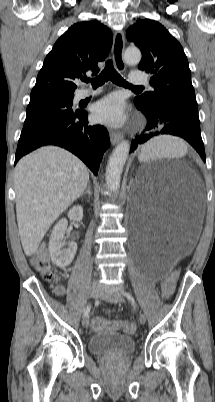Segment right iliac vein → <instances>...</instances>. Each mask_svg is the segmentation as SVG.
I'll return each instance as SVG.
<instances>
[{"mask_svg": "<svg viewBox=\"0 0 215 402\" xmlns=\"http://www.w3.org/2000/svg\"><path fill=\"white\" fill-rule=\"evenodd\" d=\"M91 297L97 299L100 296V288L97 285H93L90 290ZM83 327H88L89 318L85 317L82 321Z\"/></svg>", "mask_w": 215, "mask_h": 402, "instance_id": "obj_1", "label": "right iliac vein"}]
</instances>
